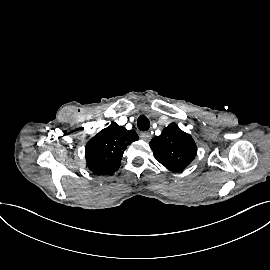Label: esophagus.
Instances as JSON below:
<instances>
[{
    "label": "esophagus",
    "instance_id": "obj_1",
    "mask_svg": "<svg viewBox=\"0 0 270 270\" xmlns=\"http://www.w3.org/2000/svg\"><path fill=\"white\" fill-rule=\"evenodd\" d=\"M140 138L144 141H149L151 139V134L147 131L141 132Z\"/></svg>",
    "mask_w": 270,
    "mask_h": 270
}]
</instances>
